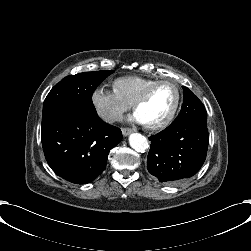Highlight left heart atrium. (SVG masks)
<instances>
[{"mask_svg": "<svg viewBox=\"0 0 251 251\" xmlns=\"http://www.w3.org/2000/svg\"><path fill=\"white\" fill-rule=\"evenodd\" d=\"M131 119L135 122H138V123H143V120L141 118V116L139 115L138 112H136L135 114H133V116L131 117Z\"/></svg>", "mask_w": 251, "mask_h": 251, "instance_id": "left-heart-atrium-1", "label": "left heart atrium"}]
</instances>
